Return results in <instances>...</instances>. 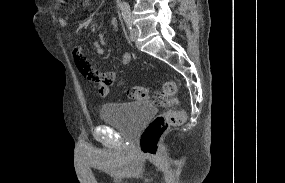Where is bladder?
Returning a JSON list of instances; mask_svg holds the SVG:
<instances>
[{
	"instance_id": "obj_1",
	"label": "bladder",
	"mask_w": 285,
	"mask_h": 183,
	"mask_svg": "<svg viewBox=\"0 0 285 183\" xmlns=\"http://www.w3.org/2000/svg\"><path fill=\"white\" fill-rule=\"evenodd\" d=\"M151 103H111L100 108V119L104 123L114 124L129 134H135L156 114Z\"/></svg>"
}]
</instances>
